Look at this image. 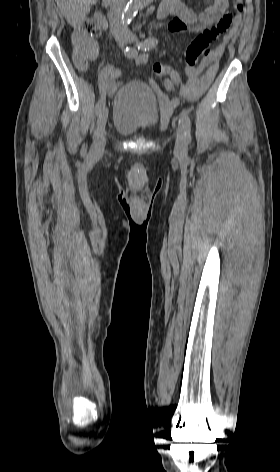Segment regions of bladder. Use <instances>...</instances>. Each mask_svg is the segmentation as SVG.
<instances>
[{
    "instance_id": "obj_1",
    "label": "bladder",
    "mask_w": 280,
    "mask_h": 472,
    "mask_svg": "<svg viewBox=\"0 0 280 472\" xmlns=\"http://www.w3.org/2000/svg\"><path fill=\"white\" fill-rule=\"evenodd\" d=\"M160 107L156 94L145 83L131 81L116 93L113 102L112 123L122 134L133 135L157 127Z\"/></svg>"
}]
</instances>
